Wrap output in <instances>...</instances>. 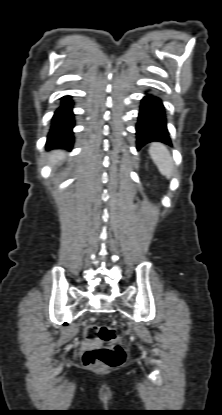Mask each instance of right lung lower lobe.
Returning <instances> with one entry per match:
<instances>
[{
    "instance_id": "1",
    "label": "right lung lower lobe",
    "mask_w": 222,
    "mask_h": 415,
    "mask_svg": "<svg viewBox=\"0 0 222 415\" xmlns=\"http://www.w3.org/2000/svg\"><path fill=\"white\" fill-rule=\"evenodd\" d=\"M73 102L70 96L61 98V106L56 110L46 147L48 149H71L74 143L72 128L74 127Z\"/></svg>"
}]
</instances>
